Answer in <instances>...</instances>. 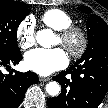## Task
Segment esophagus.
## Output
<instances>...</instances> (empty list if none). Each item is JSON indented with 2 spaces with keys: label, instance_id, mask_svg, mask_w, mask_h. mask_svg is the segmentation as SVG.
<instances>
[{
  "label": "esophagus",
  "instance_id": "esophagus-1",
  "mask_svg": "<svg viewBox=\"0 0 108 108\" xmlns=\"http://www.w3.org/2000/svg\"><path fill=\"white\" fill-rule=\"evenodd\" d=\"M39 80H40L41 82H47V81L50 80V78H49V77H42V76H40V77H39Z\"/></svg>",
  "mask_w": 108,
  "mask_h": 108
}]
</instances>
